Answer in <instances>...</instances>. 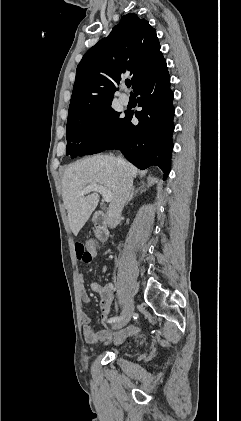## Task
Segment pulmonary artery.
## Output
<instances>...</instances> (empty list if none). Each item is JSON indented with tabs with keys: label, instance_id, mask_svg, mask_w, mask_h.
<instances>
[{
	"label": "pulmonary artery",
	"instance_id": "obj_1",
	"mask_svg": "<svg viewBox=\"0 0 241 421\" xmlns=\"http://www.w3.org/2000/svg\"><path fill=\"white\" fill-rule=\"evenodd\" d=\"M119 101H120L121 104L127 105L130 101V98L127 94L122 93V94L119 95Z\"/></svg>",
	"mask_w": 241,
	"mask_h": 421
}]
</instances>
